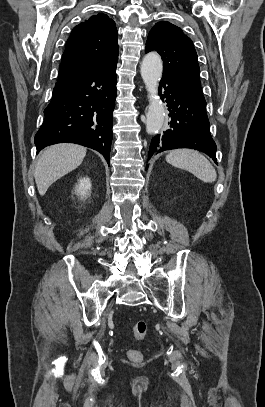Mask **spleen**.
<instances>
[{
    "instance_id": "spleen-1",
    "label": "spleen",
    "mask_w": 265,
    "mask_h": 407,
    "mask_svg": "<svg viewBox=\"0 0 265 407\" xmlns=\"http://www.w3.org/2000/svg\"><path fill=\"white\" fill-rule=\"evenodd\" d=\"M166 161L178 168L187 170L200 180L212 183L217 173L212 164L198 151L192 149H177L170 151Z\"/></svg>"
}]
</instances>
